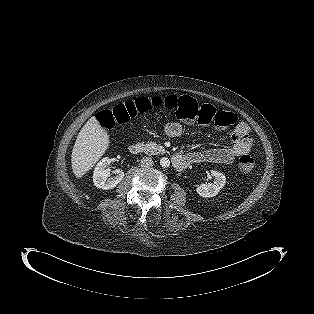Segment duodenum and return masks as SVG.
Listing matches in <instances>:
<instances>
[{"label": "duodenum", "mask_w": 314, "mask_h": 314, "mask_svg": "<svg viewBox=\"0 0 314 314\" xmlns=\"http://www.w3.org/2000/svg\"><path fill=\"white\" fill-rule=\"evenodd\" d=\"M143 146L140 143H134L129 146V152L132 155H138L142 153ZM193 162L191 156L188 155H174L172 157V165L176 170H184L190 163Z\"/></svg>", "instance_id": "duodenum-1"}]
</instances>
